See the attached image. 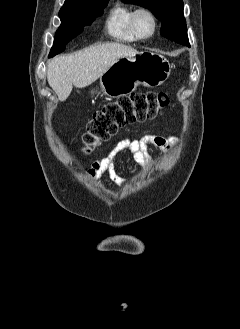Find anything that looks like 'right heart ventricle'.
<instances>
[{
    "instance_id": "e07e8e85",
    "label": "right heart ventricle",
    "mask_w": 240,
    "mask_h": 329,
    "mask_svg": "<svg viewBox=\"0 0 240 329\" xmlns=\"http://www.w3.org/2000/svg\"><path fill=\"white\" fill-rule=\"evenodd\" d=\"M134 8L128 4L117 2L109 12L106 20L107 32L116 40L123 42L135 41L137 38L131 30V17Z\"/></svg>"
}]
</instances>
